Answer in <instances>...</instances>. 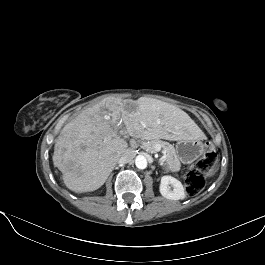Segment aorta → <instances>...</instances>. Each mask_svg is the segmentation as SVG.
I'll return each instance as SVG.
<instances>
[{
  "label": "aorta",
  "instance_id": "1",
  "mask_svg": "<svg viewBox=\"0 0 265 265\" xmlns=\"http://www.w3.org/2000/svg\"><path fill=\"white\" fill-rule=\"evenodd\" d=\"M135 165L138 169H145L147 167V159L143 155H138L135 158Z\"/></svg>",
  "mask_w": 265,
  "mask_h": 265
}]
</instances>
